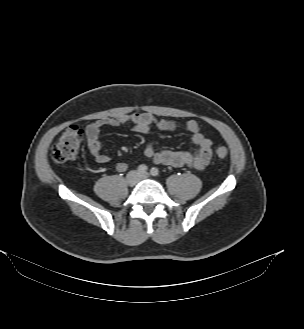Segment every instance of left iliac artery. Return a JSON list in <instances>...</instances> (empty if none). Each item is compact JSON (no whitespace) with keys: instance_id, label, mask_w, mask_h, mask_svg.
<instances>
[{"instance_id":"obj_1","label":"left iliac artery","mask_w":304,"mask_h":329,"mask_svg":"<svg viewBox=\"0 0 304 329\" xmlns=\"http://www.w3.org/2000/svg\"><path fill=\"white\" fill-rule=\"evenodd\" d=\"M150 174H151L152 176H158V175H159V170H158L157 168L153 167V168H151V170H150Z\"/></svg>"}]
</instances>
